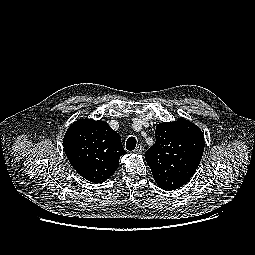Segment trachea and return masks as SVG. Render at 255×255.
<instances>
[{
  "label": "trachea",
  "instance_id": "1",
  "mask_svg": "<svg viewBox=\"0 0 255 255\" xmlns=\"http://www.w3.org/2000/svg\"><path fill=\"white\" fill-rule=\"evenodd\" d=\"M136 139L135 137H129L126 142V149L132 151L136 147Z\"/></svg>",
  "mask_w": 255,
  "mask_h": 255
}]
</instances>
